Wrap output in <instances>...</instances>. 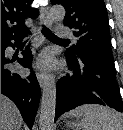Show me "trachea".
<instances>
[{
  "label": "trachea",
  "mask_w": 123,
  "mask_h": 130,
  "mask_svg": "<svg viewBox=\"0 0 123 130\" xmlns=\"http://www.w3.org/2000/svg\"><path fill=\"white\" fill-rule=\"evenodd\" d=\"M42 33L43 35L50 39V40H55V41H67V40H63L58 38L57 36H55L48 28H46L45 26H43L42 28Z\"/></svg>",
  "instance_id": "trachea-1"
}]
</instances>
